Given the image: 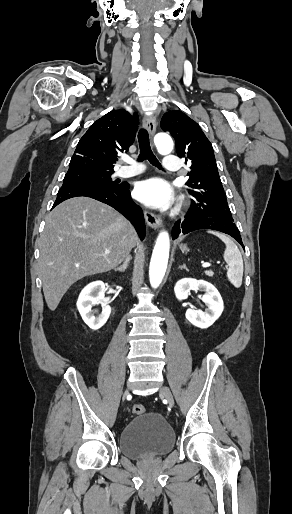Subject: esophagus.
<instances>
[{"instance_id": "1", "label": "esophagus", "mask_w": 292, "mask_h": 514, "mask_svg": "<svg viewBox=\"0 0 292 514\" xmlns=\"http://www.w3.org/2000/svg\"><path fill=\"white\" fill-rule=\"evenodd\" d=\"M143 126L146 128L150 135L153 136L156 131V121L153 115H145L143 118ZM144 218L147 222V224L152 229H157L162 224V219L160 215L153 214L152 212H149L148 210H144Z\"/></svg>"}]
</instances>
